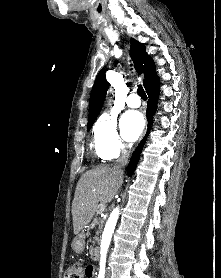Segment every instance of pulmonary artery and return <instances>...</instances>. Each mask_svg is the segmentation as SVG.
<instances>
[{
	"label": "pulmonary artery",
	"mask_w": 221,
	"mask_h": 278,
	"mask_svg": "<svg viewBox=\"0 0 221 278\" xmlns=\"http://www.w3.org/2000/svg\"><path fill=\"white\" fill-rule=\"evenodd\" d=\"M126 104L131 108H138L141 105V100L136 93H131L126 98Z\"/></svg>",
	"instance_id": "pulmonary-artery-1"
}]
</instances>
